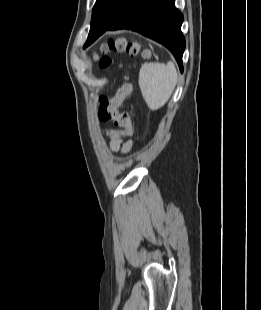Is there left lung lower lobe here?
<instances>
[{"instance_id":"left-lung-lower-lobe-1","label":"left lung lower lobe","mask_w":261,"mask_h":310,"mask_svg":"<svg viewBox=\"0 0 261 310\" xmlns=\"http://www.w3.org/2000/svg\"><path fill=\"white\" fill-rule=\"evenodd\" d=\"M175 0H123L115 16L107 23H91L84 47L107 30L131 29L167 47L176 58L181 72L185 39L181 32L183 15Z\"/></svg>"}]
</instances>
